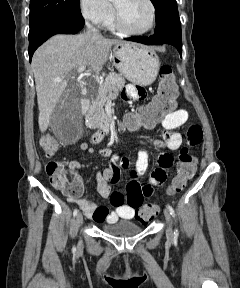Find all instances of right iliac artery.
I'll return each instance as SVG.
<instances>
[{
	"label": "right iliac artery",
	"instance_id": "right-iliac-artery-1",
	"mask_svg": "<svg viewBox=\"0 0 240 288\" xmlns=\"http://www.w3.org/2000/svg\"><path fill=\"white\" fill-rule=\"evenodd\" d=\"M77 214H78V209H75V210L73 211V215L76 216ZM75 251H76V248L73 247V252H75Z\"/></svg>",
	"mask_w": 240,
	"mask_h": 288
}]
</instances>
